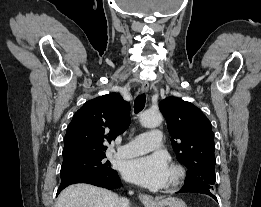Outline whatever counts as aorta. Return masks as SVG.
Segmentation results:
<instances>
[{"instance_id": "762f6f07", "label": "aorta", "mask_w": 261, "mask_h": 207, "mask_svg": "<svg viewBox=\"0 0 261 207\" xmlns=\"http://www.w3.org/2000/svg\"><path fill=\"white\" fill-rule=\"evenodd\" d=\"M162 121V115L158 111H145L140 115V123L146 128L158 127Z\"/></svg>"}]
</instances>
